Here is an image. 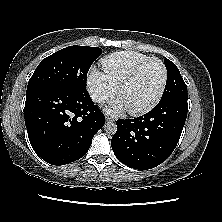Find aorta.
I'll list each match as a JSON object with an SVG mask.
<instances>
[{"label":"aorta","instance_id":"762f6f07","mask_svg":"<svg viewBox=\"0 0 222 222\" xmlns=\"http://www.w3.org/2000/svg\"><path fill=\"white\" fill-rule=\"evenodd\" d=\"M104 130H105L106 133L113 135L117 131V125L113 122H107L104 125Z\"/></svg>","mask_w":222,"mask_h":222}]
</instances>
